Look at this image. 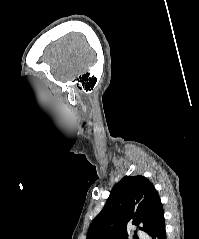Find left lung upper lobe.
I'll use <instances>...</instances> for the list:
<instances>
[{"label": "left lung upper lobe", "mask_w": 199, "mask_h": 239, "mask_svg": "<svg viewBox=\"0 0 199 239\" xmlns=\"http://www.w3.org/2000/svg\"><path fill=\"white\" fill-rule=\"evenodd\" d=\"M162 209L159 195L147 178L125 176L112 188L106 205L89 228L87 239H128V224L141 225L139 229L147 232Z\"/></svg>", "instance_id": "1"}]
</instances>
